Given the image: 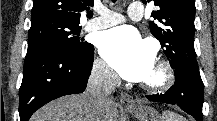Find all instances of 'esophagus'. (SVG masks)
I'll use <instances>...</instances> for the list:
<instances>
[{"label":"esophagus","instance_id":"esophagus-1","mask_svg":"<svg viewBox=\"0 0 217 121\" xmlns=\"http://www.w3.org/2000/svg\"><path fill=\"white\" fill-rule=\"evenodd\" d=\"M120 101H121V103H123L126 106H135L136 105V102H135L133 96H131L130 94H128L126 92H121Z\"/></svg>","mask_w":217,"mask_h":121}]
</instances>
